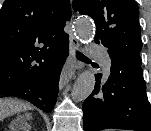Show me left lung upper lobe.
I'll list each match as a JSON object with an SVG mask.
<instances>
[{
  "mask_svg": "<svg viewBox=\"0 0 151 131\" xmlns=\"http://www.w3.org/2000/svg\"><path fill=\"white\" fill-rule=\"evenodd\" d=\"M73 9L93 18L94 41L108 48L112 62L141 66L139 9L134 0H73Z\"/></svg>",
  "mask_w": 151,
  "mask_h": 131,
  "instance_id": "1",
  "label": "left lung upper lobe"
}]
</instances>
